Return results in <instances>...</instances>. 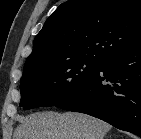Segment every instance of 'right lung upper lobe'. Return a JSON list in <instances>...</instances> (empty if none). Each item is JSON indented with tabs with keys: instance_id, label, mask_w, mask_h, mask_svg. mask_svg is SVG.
Here are the masks:
<instances>
[{
	"instance_id": "1",
	"label": "right lung upper lobe",
	"mask_w": 141,
	"mask_h": 139,
	"mask_svg": "<svg viewBox=\"0 0 141 139\" xmlns=\"http://www.w3.org/2000/svg\"><path fill=\"white\" fill-rule=\"evenodd\" d=\"M141 42V0H70L46 20L24 70L77 57L105 59Z\"/></svg>"
}]
</instances>
